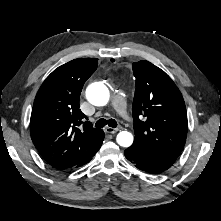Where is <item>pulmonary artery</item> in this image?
<instances>
[{
  "label": "pulmonary artery",
  "mask_w": 221,
  "mask_h": 221,
  "mask_svg": "<svg viewBox=\"0 0 221 221\" xmlns=\"http://www.w3.org/2000/svg\"><path fill=\"white\" fill-rule=\"evenodd\" d=\"M112 107L124 119L129 120L125 97L122 92H116L112 98Z\"/></svg>",
  "instance_id": "1"
}]
</instances>
